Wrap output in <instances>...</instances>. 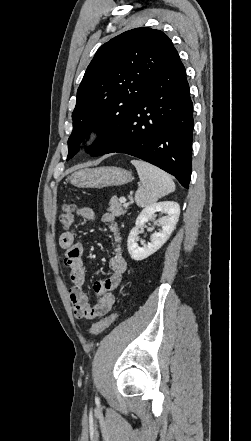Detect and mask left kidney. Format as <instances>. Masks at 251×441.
<instances>
[{
	"mask_svg": "<svg viewBox=\"0 0 251 441\" xmlns=\"http://www.w3.org/2000/svg\"><path fill=\"white\" fill-rule=\"evenodd\" d=\"M156 212L166 214V216L154 221V225L160 226L161 229L159 232H154L151 235L150 243L139 247L136 242L139 229L142 228L146 222L153 220V216ZM179 215L180 206L176 202L164 201L146 206L137 217L135 227L132 228L128 236L127 248L131 258L136 261H141L159 250L174 231Z\"/></svg>",
	"mask_w": 251,
	"mask_h": 441,
	"instance_id": "1",
	"label": "left kidney"
}]
</instances>
